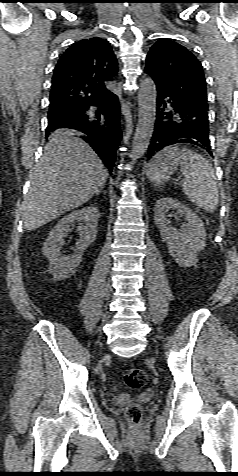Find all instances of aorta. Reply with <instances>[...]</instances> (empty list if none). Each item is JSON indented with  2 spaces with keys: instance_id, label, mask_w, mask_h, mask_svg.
I'll return each mask as SVG.
<instances>
[{
  "instance_id": "1",
  "label": "aorta",
  "mask_w": 238,
  "mask_h": 476,
  "mask_svg": "<svg viewBox=\"0 0 238 476\" xmlns=\"http://www.w3.org/2000/svg\"><path fill=\"white\" fill-rule=\"evenodd\" d=\"M156 97L154 81L149 77L143 79L138 92L139 114L130 154L132 163L145 154L150 144L156 119Z\"/></svg>"
}]
</instances>
